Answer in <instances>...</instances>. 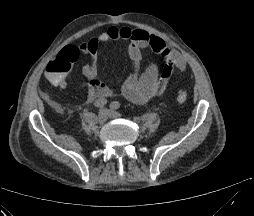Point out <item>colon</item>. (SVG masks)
I'll list each match as a JSON object with an SVG mask.
<instances>
[{
    "instance_id": "1",
    "label": "colon",
    "mask_w": 254,
    "mask_h": 216,
    "mask_svg": "<svg viewBox=\"0 0 254 216\" xmlns=\"http://www.w3.org/2000/svg\"><path fill=\"white\" fill-rule=\"evenodd\" d=\"M76 57L77 55L69 58L68 60H66L63 56L55 58L46 68L48 78L51 80L59 79L62 75L69 71L72 61L75 60ZM175 98L177 102L184 103L188 99V93L186 90L179 88L175 91Z\"/></svg>"
}]
</instances>
